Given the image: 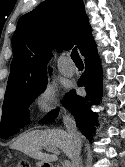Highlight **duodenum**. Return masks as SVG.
Masks as SVG:
<instances>
[{"label":"duodenum","mask_w":125,"mask_h":167,"mask_svg":"<svg viewBox=\"0 0 125 167\" xmlns=\"http://www.w3.org/2000/svg\"><path fill=\"white\" fill-rule=\"evenodd\" d=\"M44 167H51V166H50V165H48V164H45V165H44Z\"/></svg>","instance_id":"duodenum-1"}]
</instances>
